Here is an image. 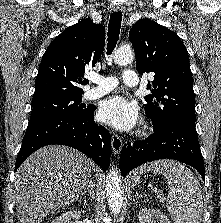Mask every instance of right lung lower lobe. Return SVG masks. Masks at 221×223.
<instances>
[{"label":"right lung lower lobe","instance_id":"right-lung-lower-lobe-1","mask_svg":"<svg viewBox=\"0 0 221 223\" xmlns=\"http://www.w3.org/2000/svg\"><path fill=\"white\" fill-rule=\"evenodd\" d=\"M94 111L95 108L83 116L54 115L29 122L17 155L15 171L29 155L51 144L73 147L106 171L110 165L111 135L94 122Z\"/></svg>","mask_w":221,"mask_h":223}]
</instances>
